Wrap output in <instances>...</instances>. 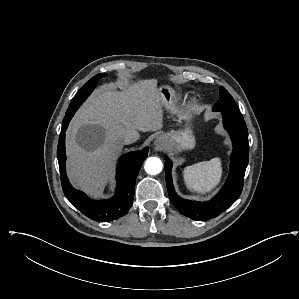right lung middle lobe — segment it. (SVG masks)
Here are the masks:
<instances>
[{"mask_svg": "<svg viewBox=\"0 0 299 299\" xmlns=\"http://www.w3.org/2000/svg\"><path fill=\"white\" fill-rule=\"evenodd\" d=\"M105 73L98 74L91 78L80 90L79 92L74 96L72 99L69 108L65 114V117H68L69 114L72 112V110H76L79 108V106L87 99V97L91 94L93 89L95 88L99 78L103 77Z\"/></svg>", "mask_w": 299, "mask_h": 299, "instance_id": "1", "label": "right lung middle lobe"}]
</instances>
